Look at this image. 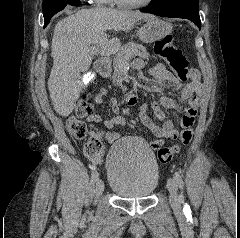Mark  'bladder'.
I'll return each mask as SVG.
<instances>
[{
    "label": "bladder",
    "instance_id": "31cf9c89",
    "mask_svg": "<svg viewBox=\"0 0 240 238\" xmlns=\"http://www.w3.org/2000/svg\"><path fill=\"white\" fill-rule=\"evenodd\" d=\"M106 168L110 188L124 198L147 197L158 184L155 154L135 138H124L111 146Z\"/></svg>",
    "mask_w": 240,
    "mask_h": 238
}]
</instances>
